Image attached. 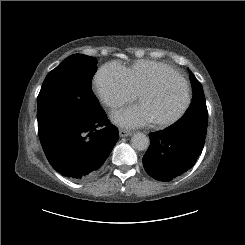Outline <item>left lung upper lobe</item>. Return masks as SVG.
Wrapping results in <instances>:
<instances>
[{
    "label": "left lung upper lobe",
    "mask_w": 245,
    "mask_h": 245,
    "mask_svg": "<svg viewBox=\"0 0 245 245\" xmlns=\"http://www.w3.org/2000/svg\"><path fill=\"white\" fill-rule=\"evenodd\" d=\"M190 78L193 86L191 106L181 119L168 128L172 130L194 132L201 137L206 138L208 111L203 88L192 72H190Z\"/></svg>",
    "instance_id": "obj_1"
}]
</instances>
